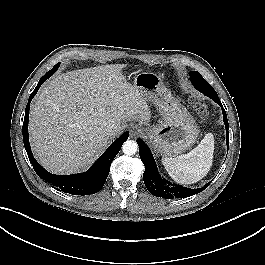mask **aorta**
Listing matches in <instances>:
<instances>
[{"label": "aorta", "mask_w": 265, "mask_h": 265, "mask_svg": "<svg viewBox=\"0 0 265 265\" xmlns=\"http://www.w3.org/2000/svg\"><path fill=\"white\" fill-rule=\"evenodd\" d=\"M138 145L134 140H127L122 146V150L126 155H134L137 152Z\"/></svg>", "instance_id": "1"}]
</instances>
